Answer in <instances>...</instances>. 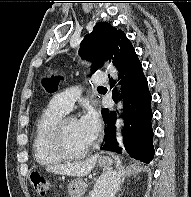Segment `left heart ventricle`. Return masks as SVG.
Instances as JSON below:
<instances>
[{"label": "left heart ventricle", "instance_id": "1", "mask_svg": "<svg viewBox=\"0 0 191 197\" xmlns=\"http://www.w3.org/2000/svg\"><path fill=\"white\" fill-rule=\"evenodd\" d=\"M64 138L66 147L73 153L81 152L91 144L80 131L77 120H70L66 124Z\"/></svg>", "mask_w": 191, "mask_h": 197}]
</instances>
